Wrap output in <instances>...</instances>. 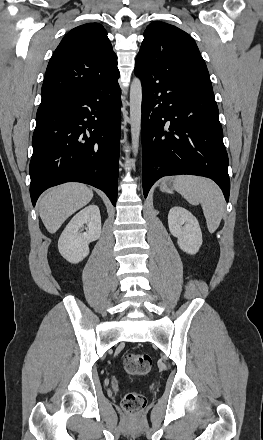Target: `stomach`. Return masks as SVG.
Returning a JSON list of instances; mask_svg holds the SVG:
<instances>
[{"label":"stomach","mask_w":263,"mask_h":440,"mask_svg":"<svg viewBox=\"0 0 263 440\" xmlns=\"http://www.w3.org/2000/svg\"><path fill=\"white\" fill-rule=\"evenodd\" d=\"M160 190L166 193H171L174 189V179L167 178L161 181L159 184Z\"/></svg>","instance_id":"stomach-1"}]
</instances>
